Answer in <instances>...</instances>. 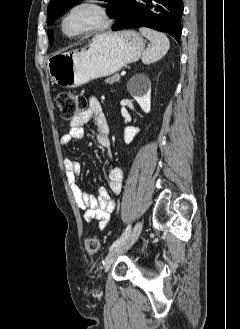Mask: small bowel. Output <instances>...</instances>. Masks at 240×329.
Here are the masks:
<instances>
[{
  "label": "small bowel",
  "instance_id": "small-bowel-1",
  "mask_svg": "<svg viewBox=\"0 0 240 329\" xmlns=\"http://www.w3.org/2000/svg\"><path fill=\"white\" fill-rule=\"evenodd\" d=\"M94 120L96 126V141L111 157V142L109 126L103 113L100 101L90 97L87 108L81 111L70 122L69 131L64 134L60 142L69 145L72 141L84 137V125ZM65 173L71 187L77 206L84 211V219L87 222L99 221V228L104 229L109 222L110 213L114 210L115 203L110 197V192L118 194L121 191L122 171L118 166L111 165L107 172V187H100L95 195L84 191L77 179L81 172L80 163L73 158H66L64 162Z\"/></svg>",
  "mask_w": 240,
  "mask_h": 329
}]
</instances>
